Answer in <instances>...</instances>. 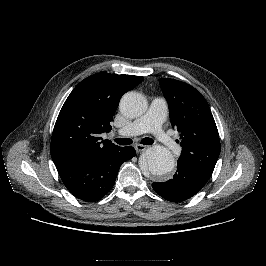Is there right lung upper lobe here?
Returning a JSON list of instances; mask_svg holds the SVG:
<instances>
[{
  "label": "right lung upper lobe",
  "instance_id": "right-lung-upper-lobe-1",
  "mask_svg": "<svg viewBox=\"0 0 266 266\" xmlns=\"http://www.w3.org/2000/svg\"><path fill=\"white\" fill-rule=\"evenodd\" d=\"M142 76L93 74L81 81L65 101L54 126L51 157L55 165L117 147L100 134L110 132L121 97ZM102 140V141H101Z\"/></svg>",
  "mask_w": 266,
  "mask_h": 266
}]
</instances>
